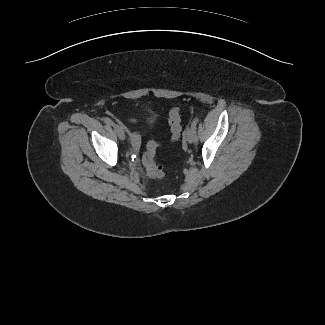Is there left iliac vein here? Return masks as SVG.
I'll return each mask as SVG.
<instances>
[{"instance_id": "obj_1", "label": "left iliac vein", "mask_w": 325, "mask_h": 325, "mask_svg": "<svg viewBox=\"0 0 325 325\" xmlns=\"http://www.w3.org/2000/svg\"><path fill=\"white\" fill-rule=\"evenodd\" d=\"M186 140L188 141V143H193L194 142V137H193V133L191 128H187L186 132Z\"/></svg>"}]
</instances>
